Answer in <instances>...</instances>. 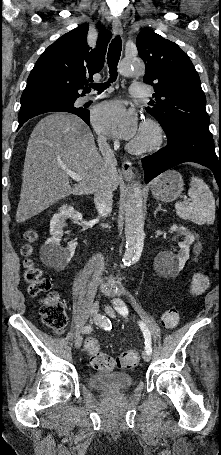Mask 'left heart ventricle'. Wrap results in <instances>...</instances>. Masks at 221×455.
<instances>
[{
	"instance_id": "obj_1",
	"label": "left heart ventricle",
	"mask_w": 221,
	"mask_h": 455,
	"mask_svg": "<svg viewBox=\"0 0 221 455\" xmlns=\"http://www.w3.org/2000/svg\"><path fill=\"white\" fill-rule=\"evenodd\" d=\"M140 136L139 133L136 135V137Z\"/></svg>"
}]
</instances>
